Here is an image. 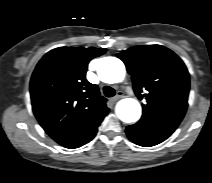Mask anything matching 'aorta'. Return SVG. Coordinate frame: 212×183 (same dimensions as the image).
Returning <instances> with one entry per match:
<instances>
[{
  "mask_svg": "<svg viewBox=\"0 0 212 183\" xmlns=\"http://www.w3.org/2000/svg\"><path fill=\"white\" fill-rule=\"evenodd\" d=\"M101 81L109 84L121 82L126 73L124 63L115 57L100 59L97 69ZM116 114L125 123H134L140 119L141 106L132 98L122 99L116 106Z\"/></svg>",
  "mask_w": 212,
  "mask_h": 183,
  "instance_id": "1",
  "label": "aorta"
}]
</instances>
